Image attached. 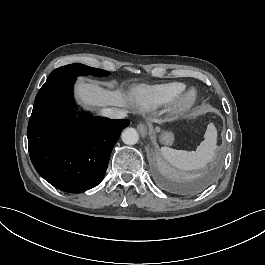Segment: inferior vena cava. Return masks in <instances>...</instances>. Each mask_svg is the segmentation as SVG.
<instances>
[{
  "label": "inferior vena cava",
  "instance_id": "inferior-vena-cava-1",
  "mask_svg": "<svg viewBox=\"0 0 265 265\" xmlns=\"http://www.w3.org/2000/svg\"><path fill=\"white\" fill-rule=\"evenodd\" d=\"M101 114L111 119H121L126 117L127 111L119 110L116 108H105L102 110Z\"/></svg>",
  "mask_w": 265,
  "mask_h": 265
}]
</instances>
